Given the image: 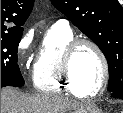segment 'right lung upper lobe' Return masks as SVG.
I'll return each instance as SVG.
<instances>
[{"label":"right lung upper lobe","instance_id":"right-lung-upper-lobe-1","mask_svg":"<svg viewBox=\"0 0 123 113\" xmlns=\"http://www.w3.org/2000/svg\"><path fill=\"white\" fill-rule=\"evenodd\" d=\"M34 0H1V36L22 34Z\"/></svg>","mask_w":123,"mask_h":113}]
</instances>
